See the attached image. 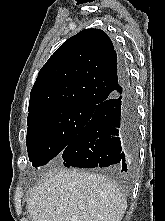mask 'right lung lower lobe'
Wrapping results in <instances>:
<instances>
[{
  "mask_svg": "<svg viewBox=\"0 0 165 221\" xmlns=\"http://www.w3.org/2000/svg\"><path fill=\"white\" fill-rule=\"evenodd\" d=\"M122 86L99 103L94 113L63 150L66 167H109L129 172V159L138 142L135 95L126 72L121 68Z\"/></svg>",
  "mask_w": 165,
  "mask_h": 221,
  "instance_id": "98d812e1",
  "label": "right lung lower lobe"
}]
</instances>
